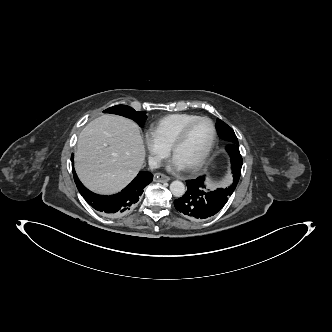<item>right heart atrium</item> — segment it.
<instances>
[{
    "label": "right heart atrium",
    "mask_w": 332,
    "mask_h": 332,
    "mask_svg": "<svg viewBox=\"0 0 332 332\" xmlns=\"http://www.w3.org/2000/svg\"><path fill=\"white\" fill-rule=\"evenodd\" d=\"M144 143L148 161L153 166L158 165L169 152V149L164 146L151 131L145 133Z\"/></svg>",
    "instance_id": "d8ad5b80"
}]
</instances>
